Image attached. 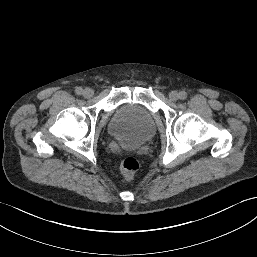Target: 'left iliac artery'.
I'll use <instances>...</instances> for the list:
<instances>
[{"label": "left iliac artery", "mask_w": 257, "mask_h": 257, "mask_svg": "<svg viewBox=\"0 0 257 257\" xmlns=\"http://www.w3.org/2000/svg\"><path fill=\"white\" fill-rule=\"evenodd\" d=\"M179 98L182 99V100L186 99L187 98V93L184 92V91L180 92Z\"/></svg>", "instance_id": "obj_1"}]
</instances>
